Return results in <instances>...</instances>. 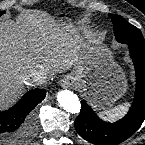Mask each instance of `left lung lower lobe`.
Here are the masks:
<instances>
[{
	"instance_id": "obj_1",
	"label": "left lung lower lobe",
	"mask_w": 145,
	"mask_h": 145,
	"mask_svg": "<svg viewBox=\"0 0 145 145\" xmlns=\"http://www.w3.org/2000/svg\"><path fill=\"white\" fill-rule=\"evenodd\" d=\"M136 71L134 101L128 114L115 123L102 121L85 101L75 120V129L87 141L98 145H114L125 141L145 119V48L128 44Z\"/></svg>"
}]
</instances>
